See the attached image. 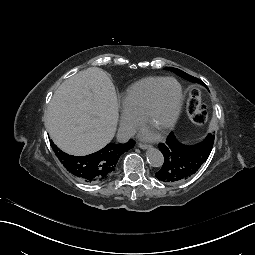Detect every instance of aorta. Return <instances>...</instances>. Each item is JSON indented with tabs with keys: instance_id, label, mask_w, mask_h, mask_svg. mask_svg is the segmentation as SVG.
Segmentation results:
<instances>
[{
	"instance_id": "obj_1",
	"label": "aorta",
	"mask_w": 255,
	"mask_h": 255,
	"mask_svg": "<svg viewBox=\"0 0 255 255\" xmlns=\"http://www.w3.org/2000/svg\"><path fill=\"white\" fill-rule=\"evenodd\" d=\"M148 163L153 167H161L164 163V156L160 150L156 148H149L146 152Z\"/></svg>"
}]
</instances>
